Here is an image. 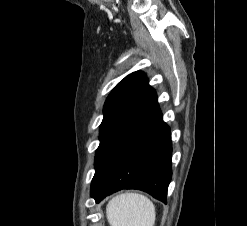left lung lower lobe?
I'll use <instances>...</instances> for the list:
<instances>
[{
    "label": "left lung lower lobe",
    "mask_w": 247,
    "mask_h": 226,
    "mask_svg": "<svg viewBox=\"0 0 247 226\" xmlns=\"http://www.w3.org/2000/svg\"><path fill=\"white\" fill-rule=\"evenodd\" d=\"M91 196L140 189L164 203L171 180L170 128L144 79L100 132Z\"/></svg>",
    "instance_id": "left-lung-lower-lobe-1"
}]
</instances>
